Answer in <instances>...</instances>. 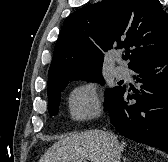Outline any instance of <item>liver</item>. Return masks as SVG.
<instances>
[{
  "label": "liver",
  "instance_id": "6515ba94",
  "mask_svg": "<svg viewBox=\"0 0 168 162\" xmlns=\"http://www.w3.org/2000/svg\"><path fill=\"white\" fill-rule=\"evenodd\" d=\"M121 151L126 146L122 141ZM109 134L102 130H89L67 136L53 144L41 157L39 162H109Z\"/></svg>",
  "mask_w": 168,
  "mask_h": 162
}]
</instances>
